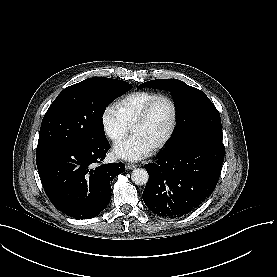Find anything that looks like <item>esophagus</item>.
<instances>
[{"instance_id": "1", "label": "esophagus", "mask_w": 277, "mask_h": 277, "mask_svg": "<svg viewBox=\"0 0 277 277\" xmlns=\"http://www.w3.org/2000/svg\"><path fill=\"white\" fill-rule=\"evenodd\" d=\"M136 166H137V164L132 163V162L126 164V168H127V169H132V168H134V167H136Z\"/></svg>"}]
</instances>
